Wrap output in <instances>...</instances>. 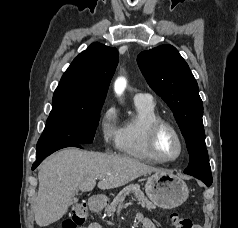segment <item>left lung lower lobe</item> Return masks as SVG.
Returning <instances> with one entry per match:
<instances>
[{
  "label": "left lung lower lobe",
  "mask_w": 238,
  "mask_h": 228,
  "mask_svg": "<svg viewBox=\"0 0 238 228\" xmlns=\"http://www.w3.org/2000/svg\"><path fill=\"white\" fill-rule=\"evenodd\" d=\"M186 173V172H184ZM188 175L194 176L201 181H203L207 186H210L212 184V177L201 175V174H196V173H186Z\"/></svg>",
  "instance_id": "left-lung-lower-lobe-1"
}]
</instances>
